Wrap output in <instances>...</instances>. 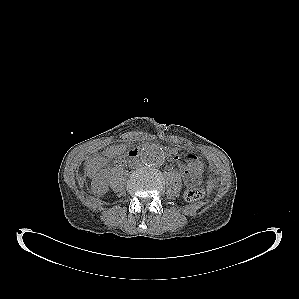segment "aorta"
Here are the masks:
<instances>
[{"label": "aorta", "instance_id": "762f6f07", "mask_svg": "<svg viewBox=\"0 0 299 299\" xmlns=\"http://www.w3.org/2000/svg\"><path fill=\"white\" fill-rule=\"evenodd\" d=\"M142 162L149 167H158L164 162V151L156 144H147L140 152Z\"/></svg>", "mask_w": 299, "mask_h": 299}]
</instances>
